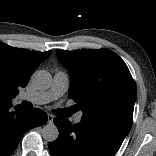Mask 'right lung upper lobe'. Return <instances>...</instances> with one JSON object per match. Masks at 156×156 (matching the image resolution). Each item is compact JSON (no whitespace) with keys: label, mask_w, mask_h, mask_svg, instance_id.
I'll list each match as a JSON object with an SVG mask.
<instances>
[{"label":"right lung upper lobe","mask_w":156,"mask_h":156,"mask_svg":"<svg viewBox=\"0 0 156 156\" xmlns=\"http://www.w3.org/2000/svg\"><path fill=\"white\" fill-rule=\"evenodd\" d=\"M51 53L14 48L0 42V108L12 106L18 89L28 84L34 70Z\"/></svg>","instance_id":"right-lung-upper-lobe-1"}]
</instances>
